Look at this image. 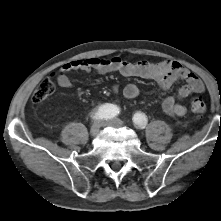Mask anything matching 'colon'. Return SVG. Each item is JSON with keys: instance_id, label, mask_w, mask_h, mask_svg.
<instances>
[{"instance_id": "colon-1", "label": "colon", "mask_w": 221, "mask_h": 221, "mask_svg": "<svg viewBox=\"0 0 221 221\" xmlns=\"http://www.w3.org/2000/svg\"><path fill=\"white\" fill-rule=\"evenodd\" d=\"M54 89L55 85L53 80L51 78H45L39 83L37 88L34 90L31 99L34 103L43 102L52 95ZM191 109L194 113L202 115L206 111V105L201 98L196 97L193 98L191 101Z\"/></svg>"}]
</instances>
